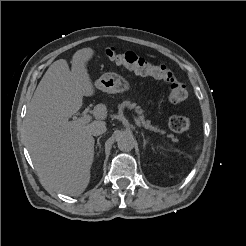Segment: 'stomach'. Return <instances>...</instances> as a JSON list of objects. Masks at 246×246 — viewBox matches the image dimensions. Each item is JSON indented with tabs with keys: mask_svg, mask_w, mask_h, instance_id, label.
Returning <instances> with one entry per match:
<instances>
[{
	"mask_svg": "<svg viewBox=\"0 0 246 246\" xmlns=\"http://www.w3.org/2000/svg\"><path fill=\"white\" fill-rule=\"evenodd\" d=\"M96 88L106 93H123L130 90L129 82L115 72H107L95 82Z\"/></svg>",
	"mask_w": 246,
	"mask_h": 246,
	"instance_id": "1",
	"label": "stomach"
}]
</instances>
